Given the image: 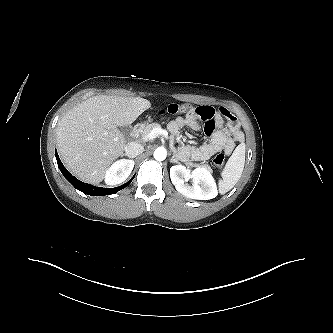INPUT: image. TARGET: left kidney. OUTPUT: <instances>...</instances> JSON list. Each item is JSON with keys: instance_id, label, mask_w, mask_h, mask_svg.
<instances>
[{"instance_id": "1", "label": "left kidney", "mask_w": 333, "mask_h": 333, "mask_svg": "<svg viewBox=\"0 0 333 333\" xmlns=\"http://www.w3.org/2000/svg\"><path fill=\"white\" fill-rule=\"evenodd\" d=\"M170 178L176 190L191 199L209 200L218 195L212 172L204 167L190 170L182 165L170 168ZM192 179L193 184L187 182Z\"/></svg>"}]
</instances>
